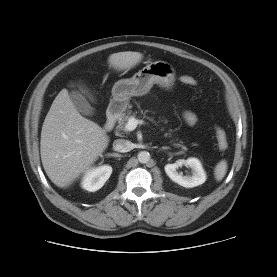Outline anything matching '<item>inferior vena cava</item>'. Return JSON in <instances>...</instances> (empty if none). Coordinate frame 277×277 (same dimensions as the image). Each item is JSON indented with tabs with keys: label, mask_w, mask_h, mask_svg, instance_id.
<instances>
[{
	"label": "inferior vena cava",
	"mask_w": 277,
	"mask_h": 277,
	"mask_svg": "<svg viewBox=\"0 0 277 277\" xmlns=\"http://www.w3.org/2000/svg\"><path fill=\"white\" fill-rule=\"evenodd\" d=\"M113 148L115 151L125 153L133 149V143L126 139H116L113 142Z\"/></svg>",
	"instance_id": "602c4592"
}]
</instances>
